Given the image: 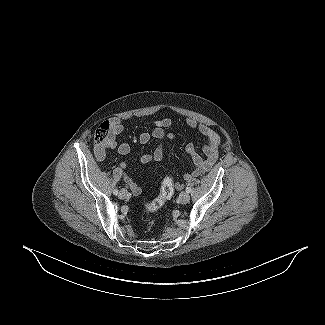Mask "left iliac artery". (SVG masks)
<instances>
[{"label":"left iliac artery","instance_id":"1","mask_svg":"<svg viewBox=\"0 0 325 325\" xmlns=\"http://www.w3.org/2000/svg\"><path fill=\"white\" fill-rule=\"evenodd\" d=\"M186 192H187V193H190V192H191V188H190V187H187V188H186Z\"/></svg>","mask_w":325,"mask_h":325}]
</instances>
